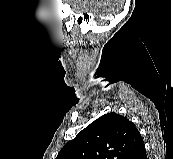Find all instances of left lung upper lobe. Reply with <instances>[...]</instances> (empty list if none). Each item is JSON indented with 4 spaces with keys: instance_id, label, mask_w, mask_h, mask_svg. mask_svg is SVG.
<instances>
[{
    "instance_id": "1",
    "label": "left lung upper lobe",
    "mask_w": 173,
    "mask_h": 159,
    "mask_svg": "<svg viewBox=\"0 0 173 159\" xmlns=\"http://www.w3.org/2000/svg\"><path fill=\"white\" fill-rule=\"evenodd\" d=\"M142 144L134 123L113 112L79 132L64 145L56 159H130Z\"/></svg>"
}]
</instances>
